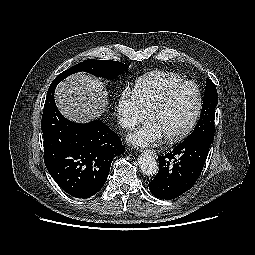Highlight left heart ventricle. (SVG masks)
<instances>
[{
    "mask_svg": "<svg viewBox=\"0 0 255 255\" xmlns=\"http://www.w3.org/2000/svg\"><path fill=\"white\" fill-rule=\"evenodd\" d=\"M198 94L192 85L176 92L169 103L150 117L162 130L164 136L174 135L190 122L197 106Z\"/></svg>",
    "mask_w": 255,
    "mask_h": 255,
    "instance_id": "obj_1",
    "label": "left heart ventricle"
}]
</instances>
